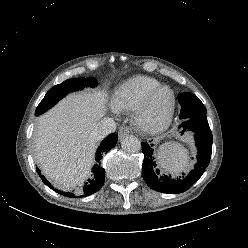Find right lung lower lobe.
Here are the masks:
<instances>
[{"mask_svg": "<svg viewBox=\"0 0 248 248\" xmlns=\"http://www.w3.org/2000/svg\"><path fill=\"white\" fill-rule=\"evenodd\" d=\"M117 143V135L116 134H110L108 135L101 143L100 147L97 150L96 153V164L93 167V177L89 182H87L80 193L79 196H76L73 193H65L60 190H55L57 193L62 194L67 197H86L89 196L95 192H97L104 184L105 181V170L100 167V160L102 158V155L104 153H107L109 150H111ZM37 173L40 175L42 181L51 189H54L51 184L45 179L43 175H41L40 170L37 168Z\"/></svg>", "mask_w": 248, "mask_h": 248, "instance_id": "1", "label": "right lung lower lobe"}]
</instances>
